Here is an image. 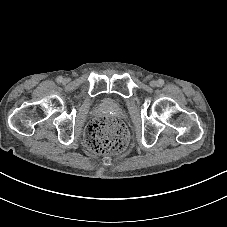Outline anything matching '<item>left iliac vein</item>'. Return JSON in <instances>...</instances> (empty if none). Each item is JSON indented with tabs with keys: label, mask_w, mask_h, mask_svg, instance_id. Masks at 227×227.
<instances>
[{
	"label": "left iliac vein",
	"mask_w": 227,
	"mask_h": 227,
	"mask_svg": "<svg viewBox=\"0 0 227 227\" xmlns=\"http://www.w3.org/2000/svg\"><path fill=\"white\" fill-rule=\"evenodd\" d=\"M157 85H158V83H157L156 80H152V81L150 82V86H151V87H156Z\"/></svg>",
	"instance_id": "4c4485c4"
}]
</instances>
